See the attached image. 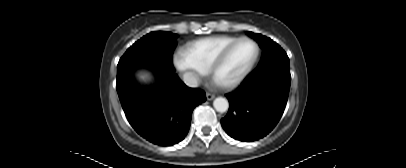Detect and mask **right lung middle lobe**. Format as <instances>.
I'll return each instance as SVG.
<instances>
[{"label":"right lung middle lobe","instance_id":"dd1d6c3e","mask_svg":"<svg viewBox=\"0 0 406 168\" xmlns=\"http://www.w3.org/2000/svg\"><path fill=\"white\" fill-rule=\"evenodd\" d=\"M176 38L177 35L171 32L156 31L135 42L118 63L117 84L134 78L139 70H147L153 74L165 70L175 71L172 53Z\"/></svg>","mask_w":406,"mask_h":168}]
</instances>
